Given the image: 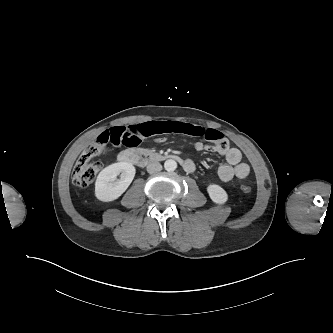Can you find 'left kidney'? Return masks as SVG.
Masks as SVG:
<instances>
[{
  "label": "left kidney",
  "mask_w": 333,
  "mask_h": 333,
  "mask_svg": "<svg viewBox=\"0 0 333 333\" xmlns=\"http://www.w3.org/2000/svg\"><path fill=\"white\" fill-rule=\"evenodd\" d=\"M207 192L211 200L216 204H224L228 199L226 191L217 184L208 185Z\"/></svg>",
  "instance_id": "left-kidney-1"
}]
</instances>
